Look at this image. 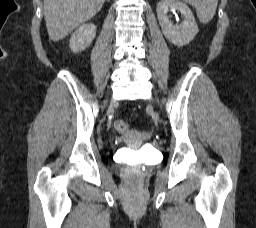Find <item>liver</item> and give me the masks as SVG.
Returning <instances> with one entry per match:
<instances>
[{
	"mask_svg": "<svg viewBox=\"0 0 256 228\" xmlns=\"http://www.w3.org/2000/svg\"><path fill=\"white\" fill-rule=\"evenodd\" d=\"M105 0H44V18L50 40L59 41L93 18Z\"/></svg>",
	"mask_w": 256,
	"mask_h": 228,
	"instance_id": "obj_1",
	"label": "liver"
}]
</instances>
